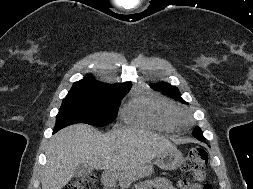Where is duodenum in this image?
I'll return each mask as SVG.
<instances>
[{"label": "duodenum", "instance_id": "1", "mask_svg": "<svg viewBox=\"0 0 253 189\" xmlns=\"http://www.w3.org/2000/svg\"><path fill=\"white\" fill-rule=\"evenodd\" d=\"M102 182L107 187L112 186L114 183V173L111 170H106L103 173Z\"/></svg>", "mask_w": 253, "mask_h": 189}]
</instances>
